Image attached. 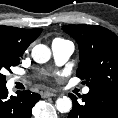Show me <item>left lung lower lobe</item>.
<instances>
[{"label": "left lung lower lobe", "instance_id": "obj_1", "mask_svg": "<svg viewBox=\"0 0 118 118\" xmlns=\"http://www.w3.org/2000/svg\"><path fill=\"white\" fill-rule=\"evenodd\" d=\"M73 108L67 118H118V93L90 90L87 94L77 97L69 94Z\"/></svg>", "mask_w": 118, "mask_h": 118}]
</instances>
